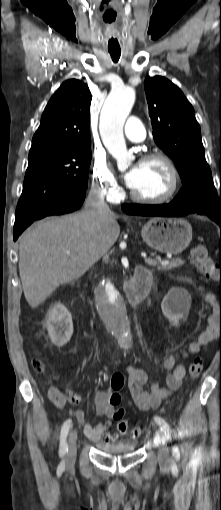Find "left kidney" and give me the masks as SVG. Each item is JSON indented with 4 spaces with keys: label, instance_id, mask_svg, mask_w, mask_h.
I'll list each match as a JSON object with an SVG mask.
<instances>
[{
    "label": "left kidney",
    "instance_id": "obj_1",
    "mask_svg": "<svg viewBox=\"0 0 221 510\" xmlns=\"http://www.w3.org/2000/svg\"><path fill=\"white\" fill-rule=\"evenodd\" d=\"M191 296L187 290L172 288L161 303L163 315L172 326L178 327L179 320L189 312Z\"/></svg>",
    "mask_w": 221,
    "mask_h": 510
}]
</instances>
